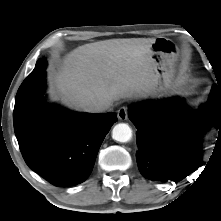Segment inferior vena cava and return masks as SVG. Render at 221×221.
I'll list each match as a JSON object with an SVG mask.
<instances>
[{"instance_id":"inferior-vena-cava-1","label":"inferior vena cava","mask_w":221,"mask_h":221,"mask_svg":"<svg viewBox=\"0 0 221 221\" xmlns=\"http://www.w3.org/2000/svg\"><path fill=\"white\" fill-rule=\"evenodd\" d=\"M110 107V103L107 101H97L88 104L84 110L90 113H100L107 110Z\"/></svg>"}]
</instances>
